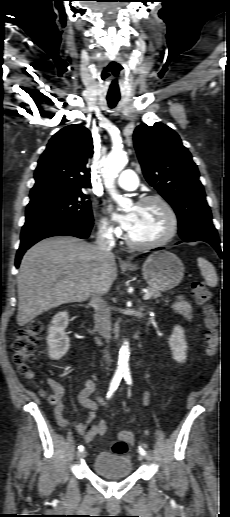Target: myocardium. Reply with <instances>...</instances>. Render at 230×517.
<instances>
[{
    "mask_svg": "<svg viewBox=\"0 0 230 517\" xmlns=\"http://www.w3.org/2000/svg\"><path fill=\"white\" fill-rule=\"evenodd\" d=\"M152 202L158 203L165 211L167 218H168V228L162 237H160L159 239H157L155 241L146 242V243L137 242V241L133 240L128 233H126L125 240H126L127 244L132 248L140 249V250L155 249V248H158V247H161V246L167 244L177 234V231L179 228L178 216H177L174 208L172 207V205L164 197H162L160 195L145 196L138 201L137 206H142V205L149 204Z\"/></svg>",
    "mask_w": 230,
    "mask_h": 517,
    "instance_id": "1",
    "label": "myocardium"
}]
</instances>
